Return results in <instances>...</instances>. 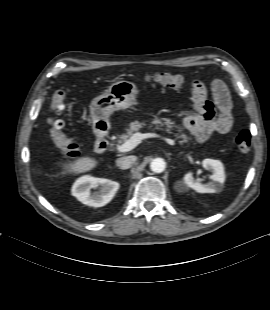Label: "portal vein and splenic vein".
<instances>
[{
	"label": "portal vein and splenic vein",
	"instance_id": "1",
	"mask_svg": "<svg viewBox=\"0 0 270 310\" xmlns=\"http://www.w3.org/2000/svg\"><path fill=\"white\" fill-rule=\"evenodd\" d=\"M152 137H160L158 134L155 133H145L142 134L140 132L134 133L132 137L127 140L125 143L117 147V151L119 153H125L134 149L141 141L145 138H152ZM168 144L175 145V141L170 138H163Z\"/></svg>",
	"mask_w": 270,
	"mask_h": 310
}]
</instances>
